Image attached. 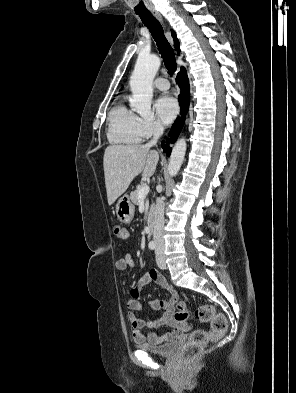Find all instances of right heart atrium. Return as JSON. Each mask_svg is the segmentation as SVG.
Segmentation results:
<instances>
[{
  "label": "right heart atrium",
  "instance_id": "right-heart-atrium-1",
  "mask_svg": "<svg viewBox=\"0 0 296 393\" xmlns=\"http://www.w3.org/2000/svg\"><path fill=\"white\" fill-rule=\"evenodd\" d=\"M142 138H151L157 136L162 131L160 123L154 119H142L140 125Z\"/></svg>",
  "mask_w": 296,
  "mask_h": 393
}]
</instances>
